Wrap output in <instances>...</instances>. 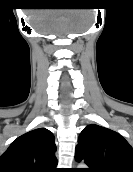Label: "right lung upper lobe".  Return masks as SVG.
<instances>
[{
	"label": "right lung upper lobe",
	"instance_id": "cb5924a9",
	"mask_svg": "<svg viewBox=\"0 0 133 172\" xmlns=\"http://www.w3.org/2000/svg\"><path fill=\"white\" fill-rule=\"evenodd\" d=\"M56 145L51 131L32 130L18 137L0 157V172H56Z\"/></svg>",
	"mask_w": 133,
	"mask_h": 172
}]
</instances>
